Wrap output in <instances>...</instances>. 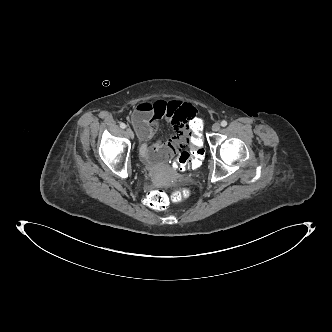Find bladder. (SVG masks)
Returning a JSON list of instances; mask_svg holds the SVG:
<instances>
[{
    "mask_svg": "<svg viewBox=\"0 0 332 332\" xmlns=\"http://www.w3.org/2000/svg\"><path fill=\"white\" fill-rule=\"evenodd\" d=\"M144 162L148 165V166H154L156 165L157 162H151V161H146L144 160Z\"/></svg>",
    "mask_w": 332,
    "mask_h": 332,
    "instance_id": "31cf9c89",
    "label": "bladder"
}]
</instances>
